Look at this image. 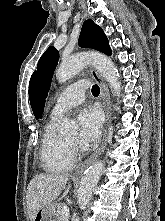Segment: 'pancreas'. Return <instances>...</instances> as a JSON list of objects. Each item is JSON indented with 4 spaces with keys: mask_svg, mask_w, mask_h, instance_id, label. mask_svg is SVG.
<instances>
[{
    "mask_svg": "<svg viewBox=\"0 0 165 221\" xmlns=\"http://www.w3.org/2000/svg\"><path fill=\"white\" fill-rule=\"evenodd\" d=\"M65 205L64 204H57L55 206L56 210H55V215H56V218H57V221H62V218H61V211L63 209Z\"/></svg>",
    "mask_w": 165,
    "mask_h": 221,
    "instance_id": "1",
    "label": "pancreas"
}]
</instances>
